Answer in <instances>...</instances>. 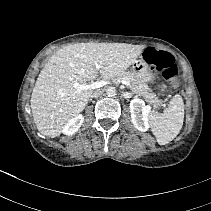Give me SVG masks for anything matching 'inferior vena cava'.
<instances>
[{"mask_svg":"<svg viewBox=\"0 0 211 211\" xmlns=\"http://www.w3.org/2000/svg\"><path fill=\"white\" fill-rule=\"evenodd\" d=\"M103 90L102 89H98V90H95L91 95L90 97L91 98H97L99 96H101L103 94Z\"/></svg>","mask_w":211,"mask_h":211,"instance_id":"602c4592","label":"inferior vena cava"}]
</instances>
